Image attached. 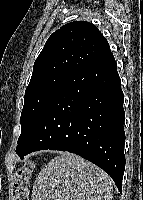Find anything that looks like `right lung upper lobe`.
<instances>
[{"label": "right lung upper lobe", "mask_w": 143, "mask_h": 200, "mask_svg": "<svg viewBox=\"0 0 143 200\" xmlns=\"http://www.w3.org/2000/svg\"><path fill=\"white\" fill-rule=\"evenodd\" d=\"M109 54V44L96 26L86 21L68 23L46 41L30 82L52 74L70 76Z\"/></svg>", "instance_id": "1"}]
</instances>
